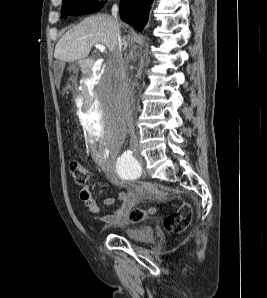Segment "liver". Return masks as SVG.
<instances>
[{
  "label": "liver",
  "mask_w": 267,
  "mask_h": 298,
  "mask_svg": "<svg viewBox=\"0 0 267 298\" xmlns=\"http://www.w3.org/2000/svg\"><path fill=\"white\" fill-rule=\"evenodd\" d=\"M95 44L105 45L110 52L118 45L114 19L107 14L87 17L67 31L56 44L54 57L66 62L85 59Z\"/></svg>",
  "instance_id": "6515ba94"
}]
</instances>
